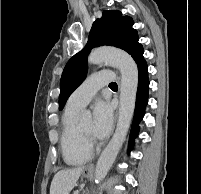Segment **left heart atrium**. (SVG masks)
<instances>
[{"label": "left heart atrium", "instance_id": "obj_1", "mask_svg": "<svg viewBox=\"0 0 201 194\" xmlns=\"http://www.w3.org/2000/svg\"><path fill=\"white\" fill-rule=\"evenodd\" d=\"M113 124V110L109 103L98 101L93 108L92 135L97 139L106 137Z\"/></svg>", "mask_w": 201, "mask_h": 194}]
</instances>
